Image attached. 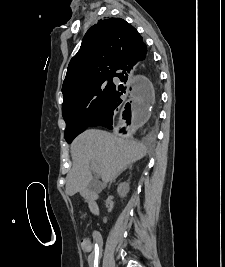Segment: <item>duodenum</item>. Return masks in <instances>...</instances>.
<instances>
[{"mask_svg":"<svg viewBox=\"0 0 225 267\" xmlns=\"http://www.w3.org/2000/svg\"><path fill=\"white\" fill-rule=\"evenodd\" d=\"M90 209L94 214H97L98 212V207L95 201L90 202Z\"/></svg>","mask_w":225,"mask_h":267,"instance_id":"obj_1","label":"duodenum"}]
</instances>
